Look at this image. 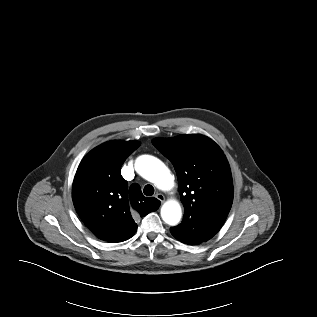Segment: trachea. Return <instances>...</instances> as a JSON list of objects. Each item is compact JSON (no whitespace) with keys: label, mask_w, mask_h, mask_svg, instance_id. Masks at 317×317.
I'll return each mask as SVG.
<instances>
[{"label":"trachea","mask_w":317,"mask_h":317,"mask_svg":"<svg viewBox=\"0 0 317 317\" xmlns=\"http://www.w3.org/2000/svg\"><path fill=\"white\" fill-rule=\"evenodd\" d=\"M143 192H144V194H145L146 196H151V195L154 194V188H153L152 185H149V184H148V185H146V186L144 187Z\"/></svg>","instance_id":"3493384b"}]
</instances>
